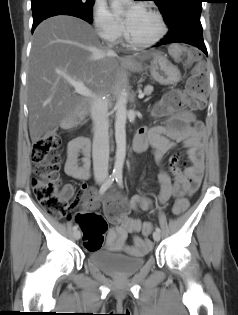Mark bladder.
<instances>
[{"instance_id":"obj_1","label":"bladder","mask_w":238,"mask_h":315,"mask_svg":"<svg viewBox=\"0 0 238 315\" xmlns=\"http://www.w3.org/2000/svg\"><path fill=\"white\" fill-rule=\"evenodd\" d=\"M87 259L100 270L116 277L133 275L146 263L144 256L136 257L101 249H90Z\"/></svg>"}]
</instances>
